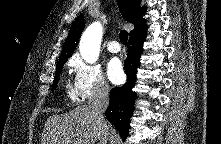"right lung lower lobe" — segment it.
<instances>
[{
    "instance_id": "1",
    "label": "right lung lower lobe",
    "mask_w": 221,
    "mask_h": 144,
    "mask_svg": "<svg viewBox=\"0 0 221 144\" xmlns=\"http://www.w3.org/2000/svg\"><path fill=\"white\" fill-rule=\"evenodd\" d=\"M145 37L146 28L130 36L128 57L124 65L127 82L122 87L111 90L110 103L105 113L106 118L118 129L123 140L129 134L130 117L134 110V100L137 97L132 88L136 80V71Z\"/></svg>"
}]
</instances>
